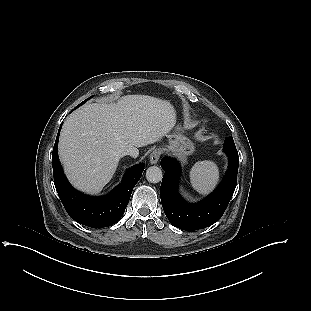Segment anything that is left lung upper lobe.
Listing matches in <instances>:
<instances>
[{
	"label": "left lung upper lobe",
	"mask_w": 311,
	"mask_h": 311,
	"mask_svg": "<svg viewBox=\"0 0 311 311\" xmlns=\"http://www.w3.org/2000/svg\"><path fill=\"white\" fill-rule=\"evenodd\" d=\"M224 149L236 150L234 140L232 137L226 138L224 143Z\"/></svg>",
	"instance_id": "5c2ea615"
}]
</instances>
